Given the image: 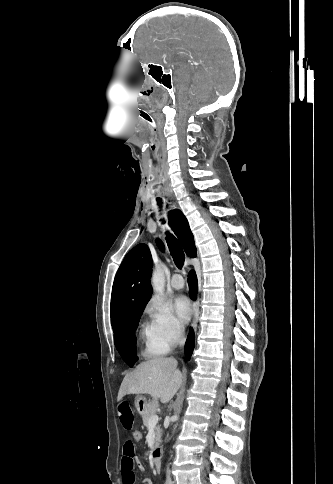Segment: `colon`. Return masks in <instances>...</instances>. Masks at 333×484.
<instances>
[{
  "mask_svg": "<svg viewBox=\"0 0 333 484\" xmlns=\"http://www.w3.org/2000/svg\"><path fill=\"white\" fill-rule=\"evenodd\" d=\"M132 436H133L134 441L139 442L143 438V433H142L141 430L136 429V430L133 431Z\"/></svg>",
  "mask_w": 333,
  "mask_h": 484,
  "instance_id": "5ec220e1",
  "label": "colon"
}]
</instances>
